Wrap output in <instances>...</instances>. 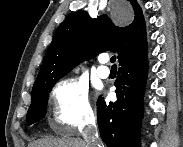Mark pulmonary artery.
Here are the masks:
<instances>
[{"mask_svg": "<svg viewBox=\"0 0 183 147\" xmlns=\"http://www.w3.org/2000/svg\"><path fill=\"white\" fill-rule=\"evenodd\" d=\"M100 65L97 68V74L101 78H107L110 75V70L106 66V63L108 61L107 55H101L98 59Z\"/></svg>", "mask_w": 183, "mask_h": 147, "instance_id": "e3ab8cb5", "label": "pulmonary artery"}]
</instances>
